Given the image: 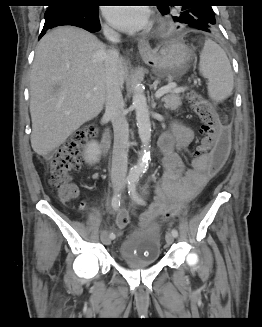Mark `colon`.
I'll list each match as a JSON object with an SVG mask.
<instances>
[{
	"instance_id": "5ec220e1",
	"label": "colon",
	"mask_w": 262,
	"mask_h": 327,
	"mask_svg": "<svg viewBox=\"0 0 262 327\" xmlns=\"http://www.w3.org/2000/svg\"><path fill=\"white\" fill-rule=\"evenodd\" d=\"M190 105L201 121L199 130L200 140L195 149L196 155H206L211 174L219 172L225 165L230 153V137L218 119L216 111L198 93L188 95ZM97 127L93 124L77 131L55 153L50 161L49 183L63 202L75 199L78 195L77 187L71 178L78 171L84 159V148L88 141L96 136ZM184 209V204H178L164 212L161 217L177 216ZM129 223V216L125 209H121L116 217L118 227H125Z\"/></svg>"
}]
</instances>
